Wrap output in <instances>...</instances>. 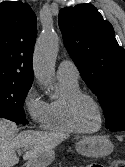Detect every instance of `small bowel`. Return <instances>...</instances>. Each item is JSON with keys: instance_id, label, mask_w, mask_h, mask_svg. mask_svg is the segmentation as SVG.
I'll return each mask as SVG.
<instances>
[{"instance_id": "c3829d8e", "label": "small bowel", "mask_w": 125, "mask_h": 167, "mask_svg": "<svg viewBox=\"0 0 125 167\" xmlns=\"http://www.w3.org/2000/svg\"><path fill=\"white\" fill-rule=\"evenodd\" d=\"M87 167H102V166L101 165L92 164V165H89Z\"/></svg>"}]
</instances>
